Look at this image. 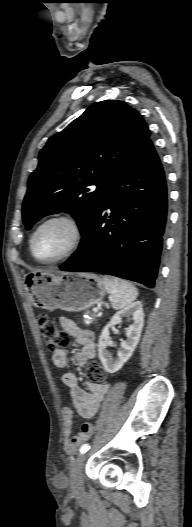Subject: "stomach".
<instances>
[{
  "mask_svg": "<svg viewBox=\"0 0 192 527\" xmlns=\"http://www.w3.org/2000/svg\"><path fill=\"white\" fill-rule=\"evenodd\" d=\"M33 304L41 309L79 312L100 303L105 295L101 278L92 273L33 272L25 277Z\"/></svg>",
  "mask_w": 192,
  "mask_h": 527,
  "instance_id": "0dacf381",
  "label": "stomach"
}]
</instances>
